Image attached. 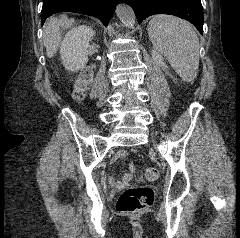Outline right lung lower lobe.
I'll list each match as a JSON object with an SVG mask.
<instances>
[{"mask_svg":"<svg viewBox=\"0 0 240 238\" xmlns=\"http://www.w3.org/2000/svg\"><path fill=\"white\" fill-rule=\"evenodd\" d=\"M120 0H43L41 25L58 12H76L97 17L107 25Z\"/></svg>","mask_w":240,"mask_h":238,"instance_id":"obj_1","label":"right lung lower lobe"}]
</instances>
